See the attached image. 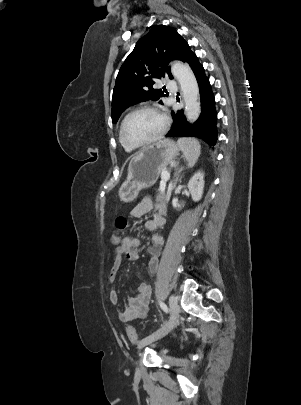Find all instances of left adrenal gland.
Returning a JSON list of instances; mask_svg holds the SVG:
<instances>
[{
	"instance_id": "obj_1",
	"label": "left adrenal gland",
	"mask_w": 301,
	"mask_h": 405,
	"mask_svg": "<svg viewBox=\"0 0 301 405\" xmlns=\"http://www.w3.org/2000/svg\"><path fill=\"white\" fill-rule=\"evenodd\" d=\"M181 171H182V168H180V169L177 171V173H176V175H175L173 187L176 185V181H177V179H178V174H179Z\"/></svg>"
}]
</instances>
